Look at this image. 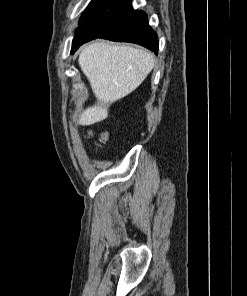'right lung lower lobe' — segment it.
Wrapping results in <instances>:
<instances>
[{
    "mask_svg": "<svg viewBox=\"0 0 247 296\" xmlns=\"http://www.w3.org/2000/svg\"><path fill=\"white\" fill-rule=\"evenodd\" d=\"M88 35L73 50L90 40L104 38L131 42L158 53L157 34L148 23L147 14L135 11L131 0H111L104 11L87 26Z\"/></svg>",
    "mask_w": 247,
    "mask_h": 296,
    "instance_id": "right-lung-lower-lobe-1",
    "label": "right lung lower lobe"
}]
</instances>
